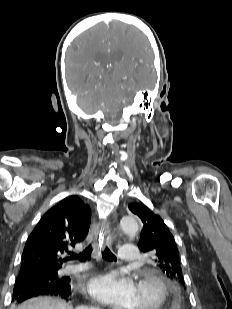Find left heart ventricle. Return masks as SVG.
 <instances>
[{
  "label": "left heart ventricle",
  "instance_id": "left-heart-ventricle-1",
  "mask_svg": "<svg viewBox=\"0 0 232 309\" xmlns=\"http://www.w3.org/2000/svg\"><path fill=\"white\" fill-rule=\"evenodd\" d=\"M158 297V292L155 286L146 283L136 285V299L133 309H146L153 306Z\"/></svg>",
  "mask_w": 232,
  "mask_h": 309
}]
</instances>
